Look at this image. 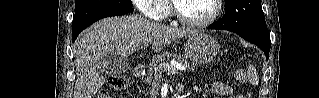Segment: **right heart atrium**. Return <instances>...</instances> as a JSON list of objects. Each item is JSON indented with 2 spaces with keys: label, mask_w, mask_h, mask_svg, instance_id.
Masks as SVG:
<instances>
[{
  "label": "right heart atrium",
  "mask_w": 319,
  "mask_h": 98,
  "mask_svg": "<svg viewBox=\"0 0 319 98\" xmlns=\"http://www.w3.org/2000/svg\"><path fill=\"white\" fill-rule=\"evenodd\" d=\"M134 3L145 16L151 19L161 20L167 14V8L162 0H135Z\"/></svg>",
  "instance_id": "right-heart-atrium-1"
}]
</instances>
